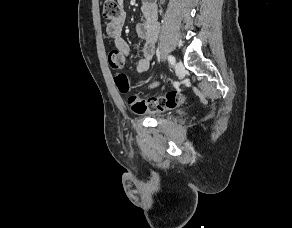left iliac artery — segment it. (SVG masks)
<instances>
[{
	"label": "left iliac artery",
	"mask_w": 292,
	"mask_h": 228,
	"mask_svg": "<svg viewBox=\"0 0 292 228\" xmlns=\"http://www.w3.org/2000/svg\"><path fill=\"white\" fill-rule=\"evenodd\" d=\"M168 61H169V63H170L171 65H174V64H175V58H174V56L169 55V56H168Z\"/></svg>",
	"instance_id": "obj_1"
}]
</instances>
